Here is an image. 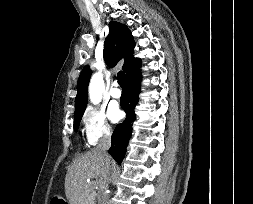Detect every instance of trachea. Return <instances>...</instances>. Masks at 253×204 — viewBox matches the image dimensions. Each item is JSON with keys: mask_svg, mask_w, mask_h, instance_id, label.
I'll return each mask as SVG.
<instances>
[{"mask_svg": "<svg viewBox=\"0 0 253 204\" xmlns=\"http://www.w3.org/2000/svg\"><path fill=\"white\" fill-rule=\"evenodd\" d=\"M117 80H118V84L120 86H125V81H124V74L122 71H119L117 74Z\"/></svg>", "mask_w": 253, "mask_h": 204, "instance_id": "3493384b", "label": "trachea"}]
</instances>
